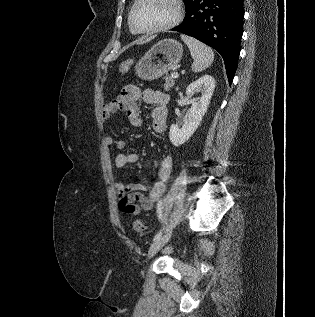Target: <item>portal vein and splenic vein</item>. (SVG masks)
<instances>
[{
  "label": "portal vein and splenic vein",
  "mask_w": 315,
  "mask_h": 317,
  "mask_svg": "<svg viewBox=\"0 0 315 317\" xmlns=\"http://www.w3.org/2000/svg\"><path fill=\"white\" fill-rule=\"evenodd\" d=\"M171 77L178 78L179 74L177 72H173V73H171Z\"/></svg>",
  "instance_id": "obj_1"
}]
</instances>
